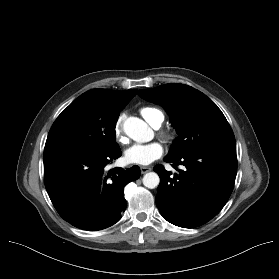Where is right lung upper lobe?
<instances>
[{"label": "right lung upper lobe", "instance_id": "1", "mask_svg": "<svg viewBox=\"0 0 279 279\" xmlns=\"http://www.w3.org/2000/svg\"><path fill=\"white\" fill-rule=\"evenodd\" d=\"M136 93V89L127 91L92 89L82 95L100 108L123 110Z\"/></svg>", "mask_w": 279, "mask_h": 279}]
</instances>
